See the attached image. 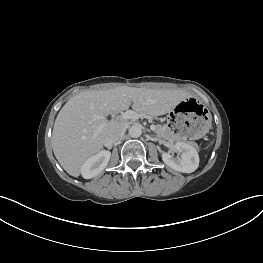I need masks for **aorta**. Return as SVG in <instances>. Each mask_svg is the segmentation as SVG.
I'll list each match as a JSON object with an SVG mask.
<instances>
[{
	"mask_svg": "<svg viewBox=\"0 0 263 263\" xmlns=\"http://www.w3.org/2000/svg\"><path fill=\"white\" fill-rule=\"evenodd\" d=\"M129 135L132 138H138L141 136L142 134V127L139 124H135L133 126H131L128 130Z\"/></svg>",
	"mask_w": 263,
	"mask_h": 263,
	"instance_id": "1",
	"label": "aorta"
}]
</instances>
